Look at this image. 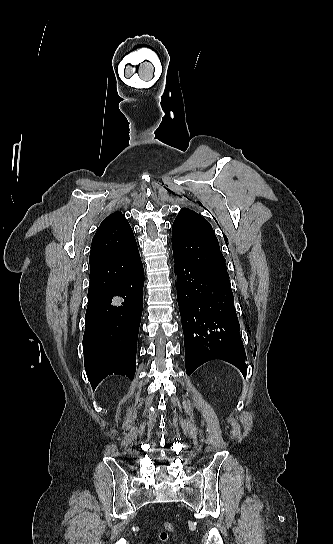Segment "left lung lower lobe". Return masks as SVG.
<instances>
[{
	"mask_svg": "<svg viewBox=\"0 0 333 544\" xmlns=\"http://www.w3.org/2000/svg\"><path fill=\"white\" fill-rule=\"evenodd\" d=\"M174 254V253H173ZM177 299L185 345L186 373L221 359L244 375L247 360L232 290L211 272L174 254Z\"/></svg>",
	"mask_w": 333,
	"mask_h": 544,
	"instance_id": "0a47b994",
	"label": "left lung lower lobe"
}]
</instances>
